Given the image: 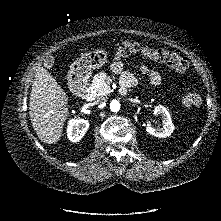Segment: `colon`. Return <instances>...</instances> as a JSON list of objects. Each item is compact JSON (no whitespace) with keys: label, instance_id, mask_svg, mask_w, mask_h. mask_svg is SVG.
Listing matches in <instances>:
<instances>
[{"label":"colon","instance_id":"5ec220e1","mask_svg":"<svg viewBox=\"0 0 221 221\" xmlns=\"http://www.w3.org/2000/svg\"><path fill=\"white\" fill-rule=\"evenodd\" d=\"M136 53H140L143 57L153 62L165 64L178 73H185L189 67L188 59L173 51L141 46L136 42L130 41H121L117 44V58L129 57ZM182 102L186 107H200L202 98L197 90H190L185 94Z\"/></svg>","mask_w":221,"mask_h":221}]
</instances>
